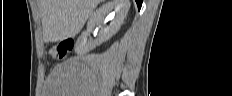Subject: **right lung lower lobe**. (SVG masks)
<instances>
[{"label": "right lung lower lobe", "instance_id": "98d812e1", "mask_svg": "<svg viewBox=\"0 0 232 96\" xmlns=\"http://www.w3.org/2000/svg\"><path fill=\"white\" fill-rule=\"evenodd\" d=\"M135 1H136V3H137L138 9H140V8H141V5H142L143 0H135Z\"/></svg>", "mask_w": 232, "mask_h": 96}]
</instances>
